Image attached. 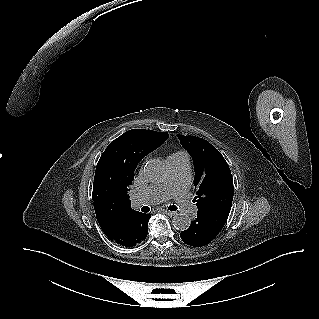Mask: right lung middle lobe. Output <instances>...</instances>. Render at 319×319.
Returning <instances> with one entry per match:
<instances>
[{"label":"right lung middle lobe","mask_w":319,"mask_h":319,"mask_svg":"<svg viewBox=\"0 0 319 319\" xmlns=\"http://www.w3.org/2000/svg\"><path fill=\"white\" fill-rule=\"evenodd\" d=\"M136 166L117 150H105L100 157L94 176L93 201H106L128 192Z\"/></svg>","instance_id":"dd1d6c3e"}]
</instances>
